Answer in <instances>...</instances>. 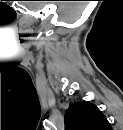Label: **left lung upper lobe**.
<instances>
[{
    "mask_svg": "<svg viewBox=\"0 0 123 130\" xmlns=\"http://www.w3.org/2000/svg\"><path fill=\"white\" fill-rule=\"evenodd\" d=\"M64 122L66 130H111L102 112L88 101L71 102Z\"/></svg>",
    "mask_w": 123,
    "mask_h": 130,
    "instance_id": "1",
    "label": "left lung upper lobe"
}]
</instances>
